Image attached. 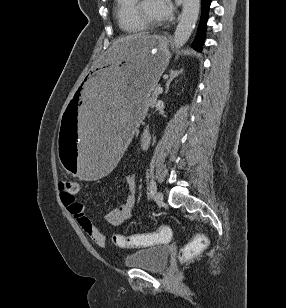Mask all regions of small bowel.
Segmentation results:
<instances>
[{"mask_svg":"<svg viewBox=\"0 0 286 308\" xmlns=\"http://www.w3.org/2000/svg\"><path fill=\"white\" fill-rule=\"evenodd\" d=\"M148 140L146 138L141 139V146L146 148L148 146ZM127 186L130 190L125 202L120 206L110 210L106 215V220L109 224L119 227L128 220L134 211L136 205V197L134 194L135 189V175H127ZM62 201L65 206L68 207L69 212L75 218L81 229L100 247L106 246L105 236L96 228L90 218L85 213V208L82 204L75 200V197H62Z\"/></svg>","mask_w":286,"mask_h":308,"instance_id":"obj_1","label":"small bowel"}]
</instances>
